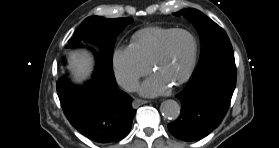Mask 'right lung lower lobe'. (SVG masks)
<instances>
[{
    "label": "right lung lower lobe",
    "instance_id": "obj_1",
    "mask_svg": "<svg viewBox=\"0 0 279 148\" xmlns=\"http://www.w3.org/2000/svg\"><path fill=\"white\" fill-rule=\"evenodd\" d=\"M92 50L97 60L92 80L78 87L61 78L57 94L69 122L87 138L98 143L120 141L130 132L136 110L132 98L117 88L112 67Z\"/></svg>",
    "mask_w": 279,
    "mask_h": 148
}]
</instances>
